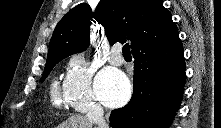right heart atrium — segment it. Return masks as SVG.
Returning a JSON list of instances; mask_svg holds the SVG:
<instances>
[{
	"label": "right heart atrium",
	"instance_id": "obj_1",
	"mask_svg": "<svg viewBox=\"0 0 221 128\" xmlns=\"http://www.w3.org/2000/svg\"><path fill=\"white\" fill-rule=\"evenodd\" d=\"M94 70L86 58L77 54L70 58L63 88L69 98V106L76 112L86 107L100 108L92 89Z\"/></svg>",
	"mask_w": 221,
	"mask_h": 128
}]
</instances>
